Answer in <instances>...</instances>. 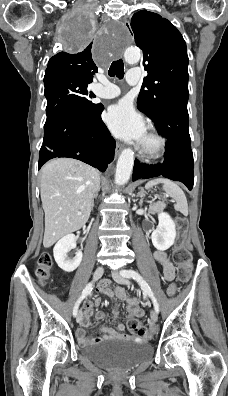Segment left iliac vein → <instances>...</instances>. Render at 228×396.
<instances>
[{"mask_svg":"<svg viewBox=\"0 0 228 396\" xmlns=\"http://www.w3.org/2000/svg\"><path fill=\"white\" fill-rule=\"evenodd\" d=\"M111 275H112L113 279L116 282L120 283V284H125V285H129L130 284L129 280L126 279V277H123L120 273H118L116 271H112ZM150 317H151L152 323H156L157 322L158 315H157V312L155 310L151 311Z\"/></svg>","mask_w":228,"mask_h":396,"instance_id":"4c4485c4","label":"left iliac vein"}]
</instances>
